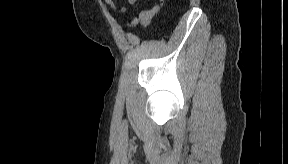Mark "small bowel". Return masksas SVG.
I'll list each match as a JSON object with an SVG mask.
<instances>
[{
  "instance_id": "small-bowel-1",
  "label": "small bowel",
  "mask_w": 288,
  "mask_h": 164,
  "mask_svg": "<svg viewBox=\"0 0 288 164\" xmlns=\"http://www.w3.org/2000/svg\"><path fill=\"white\" fill-rule=\"evenodd\" d=\"M158 10H159L158 6H154V7H153L152 9H150V10L143 11V12L140 14L139 17L144 16V15L147 14V15H149L150 18L152 19L153 16L158 12Z\"/></svg>"
}]
</instances>
